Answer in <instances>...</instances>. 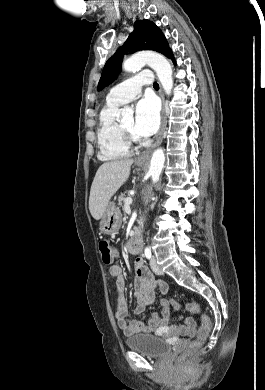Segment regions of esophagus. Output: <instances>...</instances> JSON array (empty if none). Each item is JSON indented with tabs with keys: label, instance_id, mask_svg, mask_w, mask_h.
Listing matches in <instances>:
<instances>
[{
	"label": "esophagus",
	"instance_id": "1",
	"mask_svg": "<svg viewBox=\"0 0 265 390\" xmlns=\"http://www.w3.org/2000/svg\"><path fill=\"white\" fill-rule=\"evenodd\" d=\"M159 95L161 97V100H162V123H161V128H160V132H159V135H158V138L157 140L155 141V143L150 147L148 148L147 150H145L138 158H137V162H147L149 161L150 157H151V154L153 152V150L159 146L163 140V134H164V130H165V127H166V117H165V98H164V93H163V90H162V87L160 85V89H159Z\"/></svg>",
	"mask_w": 265,
	"mask_h": 390
}]
</instances>
